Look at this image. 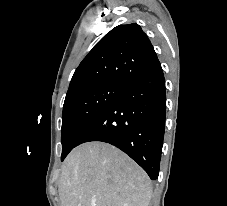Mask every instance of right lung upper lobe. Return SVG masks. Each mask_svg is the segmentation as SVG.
<instances>
[{"instance_id":"cb5924a9","label":"right lung upper lobe","mask_w":227,"mask_h":206,"mask_svg":"<svg viewBox=\"0 0 227 206\" xmlns=\"http://www.w3.org/2000/svg\"><path fill=\"white\" fill-rule=\"evenodd\" d=\"M157 62L153 46L138 24L119 25L82 60L73 74L66 96L104 81L125 82Z\"/></svg>"}]
</instances>
